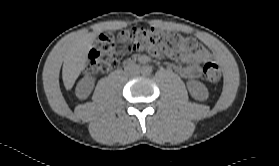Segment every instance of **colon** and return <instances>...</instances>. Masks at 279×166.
<instances>
[{
  "label": "colon",
  "instance_id": "1",
  "mask_svg": "<svg viewBox=\"0 0 279 166\" xmlns=\"http://www.w3.org/2000/svg\"><path fill=\"white\" fill-rule=\"evenodd\" d=\"M119 44H123L130 53L148 50L173 58L189 55L199 49L195 40L177 33L156 28H131L118 35L101 34L89 54L85 71L100 74L115 68L122 57ZM203 75L207 81L216 83L221 78V67L216 62H207L203 66Z\"/></svg>",
  "mask_w": 279,
  "mask_h": 166
}]
</instances>
